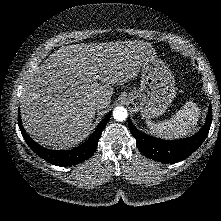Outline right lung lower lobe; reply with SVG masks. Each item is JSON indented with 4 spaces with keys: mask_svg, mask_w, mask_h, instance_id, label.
Segmentation results:
<instances>
[{
    "mask_svg": "<svg viewBox=\"0 0 221 221\" xmlns=\"http://www.w3.org/2000/svg\"><path fill=\"white\" fill-rule=\"evenodd\" d=\"M111 112H109L106 117L102 120V122L98 125L96 130L90 136V138L85 141L80 146L67 150V151H55L44 148L37 144L34 140H32L26 131L24 130L20 114H19V127L22 133V136L28 146L41 158L45 159L49 163L56 165V166H72L78 163H81L87 159H89L92 154L95 152L98 144V140L101 136V133L107 124L110 118Z\"/></svg>",
    "mask_w": 221,
    "mask_h": 221,
    "instance_id": "98d812e1",
    "label": "right lung lower lobe"
}]
</instances>
